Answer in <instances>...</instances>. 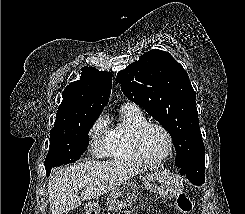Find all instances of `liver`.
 I'll list each match as a JSON object with an SVG mask.
<instances>
[{
    "label": "liver",
    "mask_w": 245,
    "mask_h": 214,
    "mask_svg": "<svg viewBox=\"0 0 245 214\" xmlns=\"http://www.w3.org/2000/svg\"><path fill=\"white\" fill-rule=\"evenodd\" d=\"M141 170L123 161H84L56 170L48 181L51 214H63L119 188ZM85 184L84 187H80ZM79 189H83L79 194Z\"/></svg>",
    "instance_id": "6515ba94"
}]
</instances>
